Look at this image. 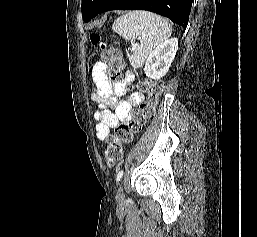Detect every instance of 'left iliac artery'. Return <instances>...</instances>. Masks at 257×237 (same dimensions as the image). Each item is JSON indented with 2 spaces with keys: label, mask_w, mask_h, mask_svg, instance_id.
I'll return each instance as SVG.
<instances>
[{
  "label": "left iliac artery",
  "mask_w": 257,
  "mask_h": 237,
  "mask_svg": "<svg viewBox=\"0 0 257 237\" xmlns=\"http://www.w3.org/2000/svg\"><path fill=\"white\" fill-rule=\"evenodd\" d=\"M122 176H123V170H120V171L118 172L117 178H116L117 183L120 181V179L122 178Z\"/></svg>",
  "instance_id": "1"
}]
</instances>
